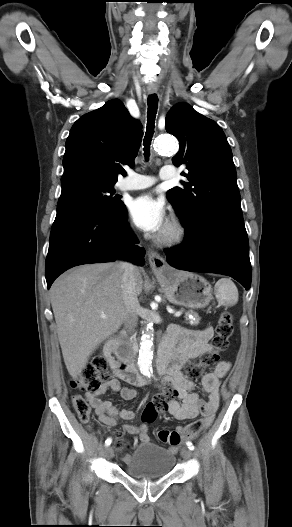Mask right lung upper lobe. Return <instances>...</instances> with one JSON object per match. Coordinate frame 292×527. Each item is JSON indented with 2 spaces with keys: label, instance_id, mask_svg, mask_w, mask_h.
I'll use <instances>...</instances> for the list:
<instances>
[{
  "label": "right lung upper lobe",
  "instance_id": "cb5924a9",
  "mask_svg": "<svg viewBox=\"0 0 292 527\" xmlns=\"http://www.w3.org/2000/svg\"><path fill=\"white\" fill-rule=\"evenodd\" d=\"M142 135L141 123L118 99L83 115L72 126L65 144L61 182L85 177L115 184L118 174H125L122 164L135 165Z\"/></svg>",
  "mask_w": 292,
  "mask_h": 527
}]
</instances>
